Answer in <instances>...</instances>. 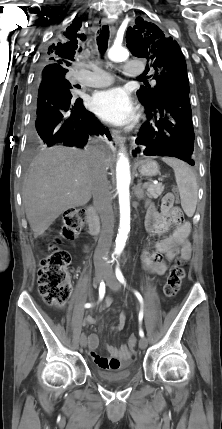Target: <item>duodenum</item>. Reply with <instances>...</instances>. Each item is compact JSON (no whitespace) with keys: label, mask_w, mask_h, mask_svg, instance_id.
Instances as JSON below:
<instances>
[{"label":"duodenum","mask_w":222,"mask_h":429,"mask_svg":"<svg viewBox=\"0 0 222 429\" xmlns=\"http://www.w3.org/2000/svg\"><path fill=\"white\" fill-rule=\"evenodd\" d=\"M86 222L89 233L92 236H97L100 233V222L96 210L92 205L86 208Z\"/></svg>","instance_id":"duodenum-1"}]
</instances>
